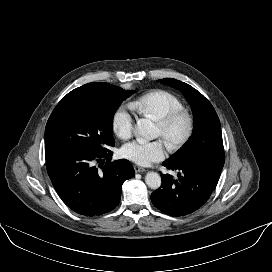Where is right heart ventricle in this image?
Here are the masks:
<instances>
[{
    "label": "right heart ventricle",
    "instance_id": "e07e8e85",
    "mask_svg": "<svg viewBox=\"0 0 272 272\" xmlns=\"http://www.w3.org/2000/svg\"><path fill=\"white\" fill-rule=\"evenodd\" d=\"M131 107L138 113L158 121L169 112L181 109L183 104L173 93L156 89L140 96Z\"/></svg>",
    "mask_w": 272,
    "mask_h": 272
}]
</instances>
